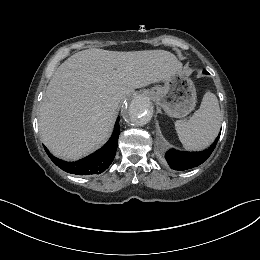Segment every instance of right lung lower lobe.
Here are the masks:
<instances>
[{"mask_svg": "<svg viewBox=\"0 0 260 260\" xmlns=\"http://www.w3.org/2000/svg\"><path fill=\"white\" fill-rule=\"evenodd\" d=\"M119 132L118 118L109 141L96 152L75 162H65L55 158L46 147L44 148L53 163L68 173L77 175L100 174L110 166L115 157Z\"/></svg>", "mask_w": 260, "mask_h": 260, "instance_id": "1", "label": "right lung lower lobe"}]
</instances>
